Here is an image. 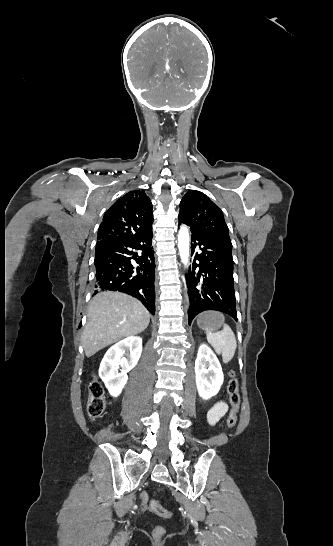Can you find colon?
<instances>
[{
	"mask_svg": "<svg viewBox=\"0 0 333 546\" xmlns=\"http://www.w3.org/2000/svg\"><path fill=\"white\" fill-rule=\"evenodd\" d=\"M89 400H88V414L90 418H99L107 407V401L105 397V391L102 384L98 380H93L89 384ZM227 392L230 402V412L227 418V426L232 428L236 425L237 415L240 409V394L238 382L233 374L228 382ZM149 509L162 518H170L172 513L164 508L158 500H151L149 503ZM154 535L158 538L162 537L165 533V529L161 526H157L154 531Z\"/></svg>",
	"mask_w": 333,
	"mask_h": 546,
	"instance_id": "colon-1",
	"label": "colon"
}]
</instances>
